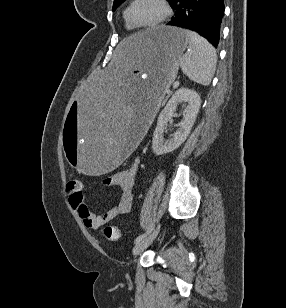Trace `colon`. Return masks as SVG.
Wrapping results in <instances>:
<instances>
[{"instance_id":"1","label":"colon","mask_w":286,"mask_h":308,"mask_svg":"<svg viewBox=\"0 0 286 308\" xmlns=\"http://www.w3.org/2000/svg\"><path fill=\"white\" fill-rule=\"evenodd\" d=\"M81 181L70 180L67 183L68 191H79L81 188ZM103 237L110 241H115L120 237V230L116 226H105L102 230Z\"/></svg>"}]
</instances>
